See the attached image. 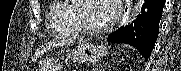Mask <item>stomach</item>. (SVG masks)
<instances>
[{
    "instance_id": "1",
    "label": "stomach",
    "mask_w": 181,
    "mask_h": 71,
    "mask_svg": "<svg viewBox=\"0 0 181 71\" xmlns=\"http://www.w3.org/2000/svg\"><path fill=\"white\" fill-rule=\"evenodd\" d=\"M106 51L103 45L81 44L70 54V58L73 62L94 63L103 58ZM40 71H55V68L43 62Z\"/></svg>"
}]
</instances>
